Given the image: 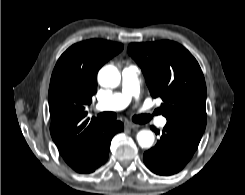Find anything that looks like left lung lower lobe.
Returning <instances> with one entry per match:
<instances>
[{
	"mask_svg": "<svg viewBox=\"0 0 245 195\" xmlns=\"http://www.w3.org/2000/svg\"><path fill=\"white\" fill-rule=\"evenodd\" d=\"M152 130L155 128L152 126ZM203 133L167 122L157 144L144 153L145 165L155 174L173 175L189 162Z\"/></svg>",
	"mask_w": 245,
	"mask_h": 195,
	"instance_id": "obj_1",
	"label": "left lung lower lobe"
}]
</instances>
